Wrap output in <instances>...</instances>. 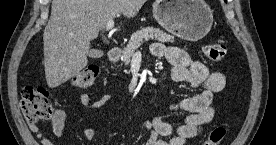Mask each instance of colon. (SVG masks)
Instances as JSON below:
<instances>
[{"label": "colon", "instance_id": "colon-1", "mask_svg": "<svg viewBox=\"0 0 276 145\" xmlns=\"http://www.w3.org/2000/svg\"><path fill=\"white\" fill-rule=\"evenodd\" d=\"M203 54L213 63L223 62L226 47L223 44H207ZM98 75V68L89 65L73 75L70 83L74 87L88 88L93 85ZM21 110L30 124H39L49 120L54 114L50 92L43 87L25 86L21 91ZM227 127L217 125L210 131L203 145H220L226 137Z\"/></svg>", "mask_w": 276, "mask_h": 145}]
</instances>
